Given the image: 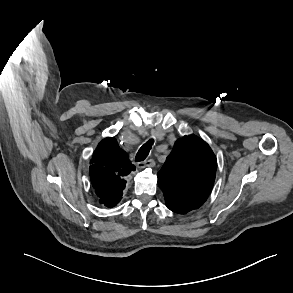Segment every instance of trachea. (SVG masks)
Wrapping results in <instances>:
<instances>
[{"label": "trachea", "instance_id": "3493384b", "mask_svg": "<svg viewBox=\"0 0 293 293\" xmlns=\"http://www.w3.org/2000/svg\"><path fill=\"white\" fill-rule=\"evenodd\" d=\"M153 145V139L149 140L146 142L138 151L135 157L136 162H140L146 159L148 156L150 149L152 148Z\"/></svg>", "mask_w": 293, "mask_h": 293}]
</instances>
